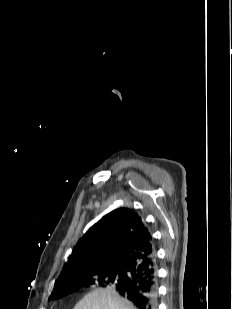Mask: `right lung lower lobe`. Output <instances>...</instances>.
Instances as JSON below:
<instances>
[{"label":"right lung lower lobe","instance_id":"98d812e1","mask_svg":"<svg viewBox=\"0 0 232 309\" xmlns=\"http://www.w3.org/2000/svg\"><path fill=\"white\" fill-rule=\"evenodd\" d=\"M129 280L116 287L122 296L132 301L138 309H157L156 257H148L128 270Z\"/></svg>","mask_w":232,"mask_h":309}]
</instances>
